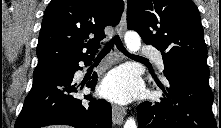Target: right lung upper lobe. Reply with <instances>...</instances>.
<instances>
[{"mask_svg": "<svg viewBox=\"0 0 221 128\" xmlns=\"http://www.w3.org/2000/svg\"><path fill=\"white\" fill-rule=\"evenodd\" d=\"M123 10L122 0H52L42 20L33 77L92 60L106 37L104 28L117 25Z\"/></svg>", "mask_w": 221, "mask_h": 128, "instance_id": "cb5924a9", "label": "right lung upper lobe"}]
</instances>
